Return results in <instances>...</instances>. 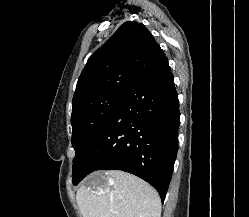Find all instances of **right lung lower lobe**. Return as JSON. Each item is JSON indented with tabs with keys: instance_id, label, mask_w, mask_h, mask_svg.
Segmentation results:
<instances>
[{
	"instance_id": "obj_1",
	"label": "right lung lower lobe",
	"mask_w": 249,
	"mask_h": 217,
	"mask_svg": "<svg viewBox=\"0 0 249 217\" xmlns=\"http://www.w3.org/2000/svg\"><path fill=\"white\" fill-rule=\"evenodd\" d=\"M178 105L164 56L125 94L91 143L75 185L95 170H122L150 183L163 202L178 149Z\"/></svg>"
}]
</instances>
